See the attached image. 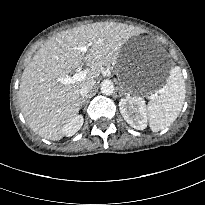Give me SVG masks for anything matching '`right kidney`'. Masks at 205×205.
Masks as SVG:
<instances>
[{
    "instance_id": "1",
    "label": "right kidney",
    "mask_w": 205,
    "mask_h": 205,
    "mask_svg": "<svg viewBox=\"0 0 205 205\" xmlns=\"http://www.w3.org/2000/svg\"><path fill=\"white\" fill-rule=\"evenodd\" d=\"M83 116L77 115L64 126V135H74L83 125Z\"/></svg>"
}]
</instances>
